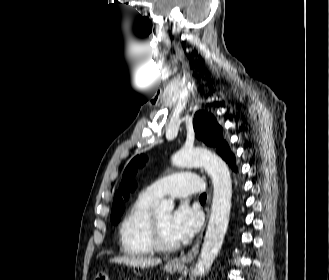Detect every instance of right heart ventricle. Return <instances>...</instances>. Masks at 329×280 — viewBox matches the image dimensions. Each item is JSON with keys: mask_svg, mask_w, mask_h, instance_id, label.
Returning a JSON list of instances; mask_svg holds the SVG:
<instances>
[{"mask_svg": "<svg viewBox=\"0 0 329 280\" xmlns=\"http://www.w3.org/2000/svg\"><path fill=\"white\" fill-rule=\"evenodd\" d=\"M156 197L147 191L141 193L129 206L120 225L121 250L130 256H147L154 247L149 236V222Z\"/></svg>", "mask_w": 329, "mask_h": 280, "instance_id": "1", "label": "right heart ventricle"}]
</instances>
